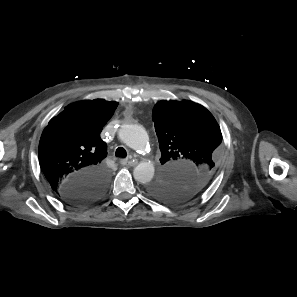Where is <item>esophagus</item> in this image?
<instances>
[{
    "instance_id": "esophagus-1",
    "label": "esophagus",
    "mask_w": 297,
    "mask_h": 297,
    "mask_svg": "<svg viewBox=\"0 0 297 297\" xmlns=\"http://www.w3.org/2000/svg\"><path fill=\"white\" fill-rule=\"evenodd\" d=\"M120 163L123 165V166H135L137 164V162L135 161H132V160H128V159H122L120 161Z\"/></svg>"
}]
</instances>
